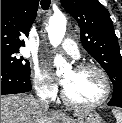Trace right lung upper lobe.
Instances as JSON below:
<instances>
[{
    "label": "right lung upper lobe",
    "instance_id": "right-lung-upper-lobe-1",
    "mask_svg": "<svg viewBox=\"0 0 122 123\" xmlns=\"http://www.w3.org/2000/svg\"><path fill=\"white\" fill-rule=\"evenodd\" d=\"M39 0H1V49L19 50L25 46L38 9Z\"/></svg>",
    "mask_w": 122,
    "mask_h": 123
}]
</instances>
